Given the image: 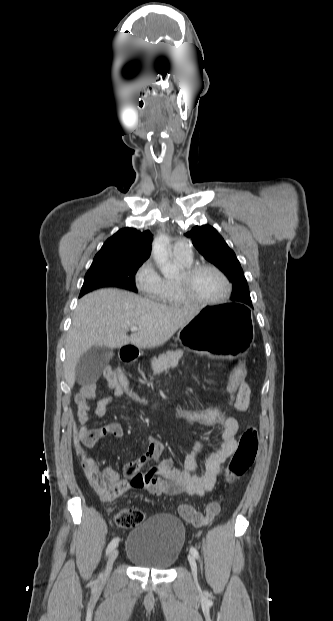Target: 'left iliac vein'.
I'll return each mask as SVG.
<instances>
[{"label":"left iliac vein","instance_id":"obj_1","mask_svg":"<svg viewBox=\"0 0 333 621\" xmlns=\"http://www.w3.org/2000/svg\"><path fill=\"white\" fill-rule=\"evenodd\" d=\"M188 561L191 567V571L195 580H197V563L195 557L192 554L188 555Z\"/></svg>","mask_w":333,"mask_h":621}]
</instances>
